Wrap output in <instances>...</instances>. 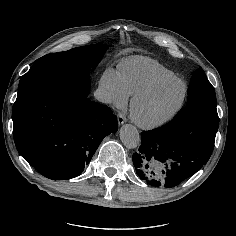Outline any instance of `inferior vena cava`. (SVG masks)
<instances>
[{
  "label": "inferior vena cava",
  "instance_id": "602c4592",
  "mask_svg": "<svg viewBox=\"0 0 236 236\" xmlns=\"http://www.w3.org/2000/svg\"><path fill=\"white\" fill-rule=\"evenodd\" d=\"M94 97L102 103L110 104L112 102V95L109 90L104 87H98L94 93Z\"/></svg>",
  "mask_w": 236,
  "mask_h": 236
}]
</instances>
